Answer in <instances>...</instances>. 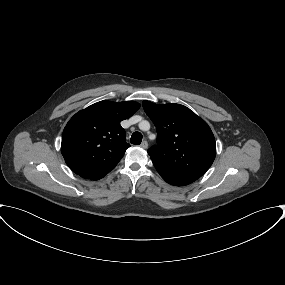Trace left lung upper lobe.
<instances>
[{"label": "left lung upper lobe", "instance_id": "1", "mask_svg": "<svg viewBox=\"0 0 285 285\" xmlns=\"http://www.w3.org/2000/svg\"><path fill=\"white\" fill-rule=\"evenodd\" d=\"M157 129V145L148 150L153 163L201 177L216 156L214 135L208 124L180 104L143 101Z\"/></svg>", "mask_w": 285, "mask_h": 285}]
</instances>
